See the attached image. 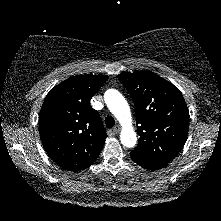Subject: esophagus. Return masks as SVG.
<instances>
[{
	"instance_id": "esophagus-1",
	"label": "esophagus",
	"mask_w": 221,
	"mask_h": 221,
	"mask_svg": "<svg viewBox=\"0 0 221 221\" xmlns=\"http://www.w3.org/2000/svg\"><path fill=\"white\" fill-rule=\"evenodd\" d=\"M113 131L115 134H118L120 132V126L119 125H116L114 128H113Z\"/></svg>"
}]
</instances>
